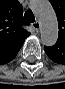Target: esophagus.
I'll list each match as a JSON object with an SVG mask.
<instances>
[{"label": "esophagus", "instance_id": "esophagus-1", "mask_svg": "<svg viewBox=\"0 0 65 89\" xmlns=\"http://www.w3.org/2000/svg\"><path fill=\"white\" fill-rule=\"evenodd\" d=\"M32 26L36 32H39L40 30V23L38 21L32 23Z\"/></svg>", "mask_w": 65, "mask_h": 89}]
</instances>
